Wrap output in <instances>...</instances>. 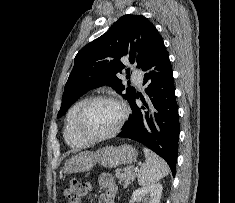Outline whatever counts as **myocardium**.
Masks as SVG:
<instances>
[{
	"label": "myocardium",
	"instance_id": "1",
	"mask_svg": "<svg viewBox=\"0 0 235 203\" xmlns=\"http://www.w3.org/2000/svg\"><path fill=\"white\" fill-rule=\"evenodd\" d=\"M100 101H110V102L118 104L121 108V117H120L117 125L115 126V128L112 131H110L109 133H106L104 135H99V136H91V135H88L85 132H83V130L81 128V122H82V119H83L86 111L89 109V107L97 102H100ZM128 117H129V108L123 100H121L115 96H111V95H97V96H93V97L87 99L79 108V110L76 114V117H75V121H74V130L80 138H82L83 140H85L88 143L101 142V141H104V140H107V139H110V138L116 136L123 128Z\"/></svg>",
	"mask_w": 235,
	"mask_h": 203
}]
</instances>
